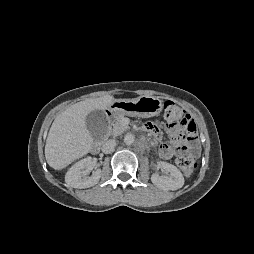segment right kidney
Wrapping results in <instances>:
<instances>
[{"instance_id":"ca27d5eb","label":"right kidney","mask_w":254,"mask_h":254,"mask_svg":"<svg viewBox=\"0 0 254 254\" xmlns=\"http://www.w3.org/2000/svg\"><path fill=\"white\" fill-rule=\"evenodd\" d=\"M92 158L86 157L75 163L66 173L65 181L68 185L74 188H89L98 183L101 177V170L93 171L89 177L86 175V170L91 168Z\"/></svg>"}]
</instances>
